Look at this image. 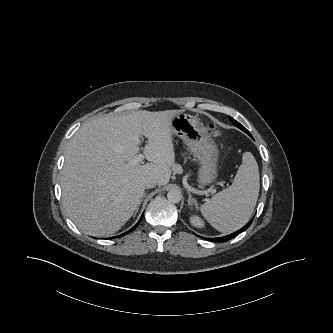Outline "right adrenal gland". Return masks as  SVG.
Returning <instances> with one entry per match:
<instances>
[{
  "instance_id": "1",
  "label": "right adrenal gland",
  "mask_w": 333,
  "mask_h": 333,
  "mask_svg": "<svg viewBox=\"0 0 333 333\" xmlns=\"http://www.w3.org/2000/svg\"><path fill=\"white\" fill-rule=\"evenodd\" d=\"M145 196H146V193H144L142 199L140 200V202H139V204H138V206H137V208H136V211H135V213H134L135 215L137 214V212H138V210H139V207H140V205H141V203H142V201H143V199H144Z\"/></svg>"
}]
</instances>
